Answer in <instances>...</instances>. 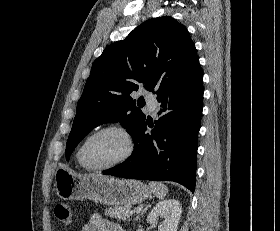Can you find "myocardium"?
<instances>
[{
  "mask_svg": "<svg viewBox=\"0 0 280 231\" xmlns=\"http://www.w3.org/2000/svg\"><path fill=\"white\" fill-rule=\"evenodd\" d=\"M108 131H115L123 136L125 143H126L125 151L121 155V157H119L118 159H116L115 161H113L107 165L93 166V165L89 164L87 162V160L85 159V155H84L85 149H86L88 143L95 136H97L101 133H104V132H108ZM133 149H134L133 140H132V137H131L130 133L128 132V130L126 128H124L123 126L116 125V124H110V125H106L104 127L97 129L96 131L92 132L84 139V141L82 142L81 147L79 149L78 160H79L80 164L87 170L103 171V170H106V169H109V168H112V167H115V166H118V165L124 163L132 155Z\"/></svg>",
  "mask_w": 280,
  "mask_h": 231,
  "instance_id": "1",
  "label": "myocardium"
}]
</instances>
